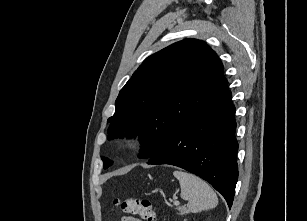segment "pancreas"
<instances>
[{"instance_id": "1", "label": "pancreas", "mask_w": 307, "mask_h": 221, "mask_svg": "<svg viewBox=\"0 0 307 221\" xmlns=\"http://www.w3.org/2000/svg\"><path fill=\"white\" fill-rule=\"evenodd\" d=\"M178 211H179V214H181V215H184L187 212L185 207H179Z\"/></svg>"}]
</instances>
